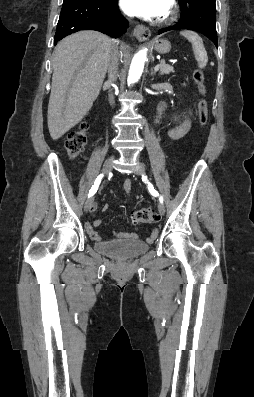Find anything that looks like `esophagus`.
<instances>
[{
    "label": "esophagus",
    "instance_id": "esophagus-1",
    "mask_svg": "<svg viewBox=\"0 0 254 397\" xmlns=\"http://www.w3.org/2000/svg\"><path fill=\"white\" fill-rule=\"evenodd\" d=\"M134 36L141 42L146 41L151 36V31L144 25H137L134 28Z\"/></svg>",
    "mask_w": 254,
    "mask_h": 397
}]
</instances>
